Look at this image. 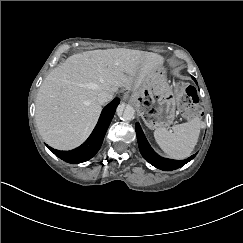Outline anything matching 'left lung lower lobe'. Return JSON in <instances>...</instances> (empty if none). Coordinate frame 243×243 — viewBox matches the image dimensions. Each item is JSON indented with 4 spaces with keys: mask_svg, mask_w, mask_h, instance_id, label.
<instances>
[{
    "mask_svg": "<svg viewBox=\"0 0 243 243\" xmlns=\"http://www.w3.org/2000/svg\"><path fill=\"white\" fill-rule=\"evenodd\" d=\"M192 79L197 84L195 78L192 77ZM135 130L137 134L139 150L142 156L147 162H149L151 165L155 166L158 169L164 171H171V170L178 169L183 165H185L186 163H188L189 161H191L196 156V154H194L185 160H171V159L162 158L158 154H156L148 144L139 123L135 124Z\"/></svg>",
    "mask_w": 243,
    "mask_h": 243,
    "instance_id": "0a47b994",
    "label": "left lung lower lobe"
}]
</instances>
